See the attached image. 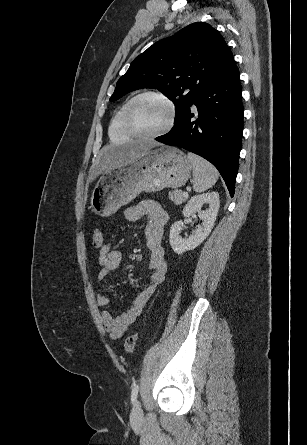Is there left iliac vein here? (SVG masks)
Returning <instances> with one entry per match:
<instances>
[{
  "label": "left iliac vein",
  "instance_id": "obj_1",
  "mask_svg": "<svg viewBox=\"0 0 307 445\" xmlns=\"http://www.w3.org/2000/svg\"><path fill=\"white\" fill-rule=\"evenodd\" d=\"M143 412L141 409V405L139 401H135L133 408H132V412H131V419L133 421H138L142 418Z\"/></svg>",
  "mask_w": 307,
  "mask_h": 445
}]
</instances>
